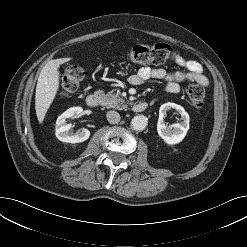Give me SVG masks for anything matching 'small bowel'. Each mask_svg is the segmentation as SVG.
Returning a JSON list of instances; mask_svg holds the SVG:
<instances>
[{
	"mask_svg": "<svg viewBox=\"0 0 247 247\" xmlns=\"http://www.w3.org/2000/svg\"><path fill=\"white\" fill-rule=\"evenodd\" d=\"M175 61L182 70L167 72L163 68L142 67L137 73L129 77V82L133 85H140L150 78L163 80L166 83V90L170 93L179 92L180 84L185 81L194 82L203 87L209 85V80L199 62L187 60L180 55L176 57Z\"/></svg>",
	"mask_w": 247,
	"mask_h": 247,
	"instance_id": "small-bowel-1",
	"label": "small bowel"
}]
</instances>
